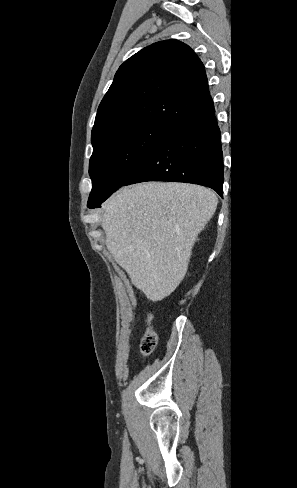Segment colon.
Returning a JSON list of instances; mask_svg holds the SVG:
<instances>
[{
    "label": "colon",
    "mask_w": 297,
    "mask_h": 488,
    "mask_svg": "<svg viewBox=\"0 0 297 488\" xmlns=\"http://www.w3.org/2000/svg\"><path fill=\"white\" fill-rule=\"evenodd\" d=\"M152 320H153L152 315H148L146 317L147 328H146L145 332L143 333L142 338H141V342H140V350H141V353L143 356L150 355L154 351V349L157 345V340H158L157 335L150 326L152 323Z\"/></svg>",
    "instance_id": "colon-1"
}]
</instances>
